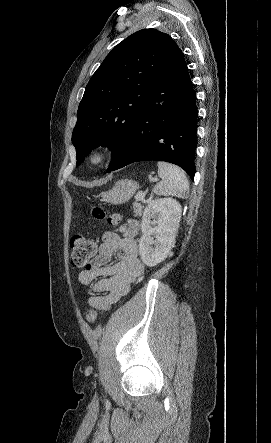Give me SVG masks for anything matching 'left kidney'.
<instances>
[{"label":"left kidney","instance_id":"1","mask_svg":"<svg viewBox=\"0 0 271 443\" xmlns=\"http://www.w3.org/2000/svg\"><path fill=\"white\" fill-rule=\"evenodd\" d=\"M181 206L172 198L152 200L143 212L139 241L143 263L153 267L169 255L178 231ZM156 237V239H154Z\"/></svg>","mask_w":271,"mask_h":443}]
</instances>
